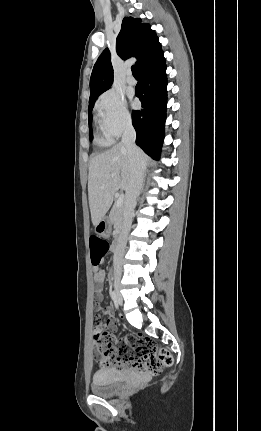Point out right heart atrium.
Here are the masks:
<instances>
[{
  "label": "right heart atrium",
  "instance_id": "right-heart-atrium-1",
  "mask_svg": "<svg viewBox=\"0 0 261 431\" xmlns=\"http://www.w3.org/2000/svg\"><path fill=\"white\" fill-rule=\"evenodd\" d=\"M100 126L105 134L119 137L131 126L132 118L125 98L115 90L104 92L95 105Z\"/></svg>",
  "mask_w": 261,
  "mask_h": 431
}]
</instances>
